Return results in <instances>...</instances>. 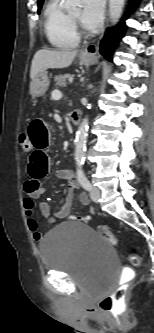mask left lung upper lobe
Segmentation results:
<instances>
[{
  "label": "left lung upper lobe",
  "instance_id": "1",
  "mask_svg": "<svg viewBox=\"0 0 154 333\" xmlns=\"http://www.w3.org/2000/svg\"><path fill=\"white\" fill-rule=\"evenodd\" d=\"M43 2L44 0H38V6H39L38 11L41 9Z\"/></svg>",
  "mask_w": 154,
  "mask_h": 333
}]
</instances>
